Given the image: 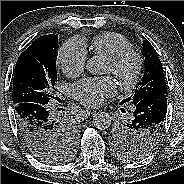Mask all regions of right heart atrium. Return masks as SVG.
Instances as JSON below:
<instances>
[{
    "label": "right heart atrium",
    "mask_w": 184,
    "mask_h": 184,
    "mask_svg": "<svg viewBox=\"0 0 184 184\" xmlns=\"http://www.w3.org/2000/svg\"><path fill=\"white\" fill-rule=\"evenodd\" d=\"M86 60V44L81 38L75 37L62 45L57 62L66 75L76 76L83 71Z\"/></svg>",
    "instance_id": "1"
}]
</instances>
